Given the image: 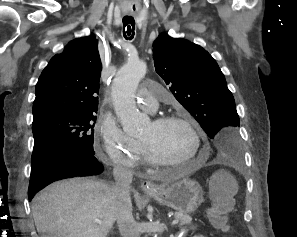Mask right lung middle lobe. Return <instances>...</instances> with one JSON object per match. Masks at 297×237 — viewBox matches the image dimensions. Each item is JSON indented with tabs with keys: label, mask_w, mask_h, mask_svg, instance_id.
<instances>
[{
	"label": "right lung middle lobe",
	"mask_w": 297,
	"mask_h": 237,
	"mask_svg": "<svg viewBox=\"0 0 297 237\" xmlns=\"http://www.w3.org/2000/svg\"><path fill=\"white\" fill-rule=\"evenodd\" d=\"M95 113H55L33 122L32 156L56 146H72L95 153L93 150Z\"/></svg>",
	"instance_id": "1"
}]
</instances>
